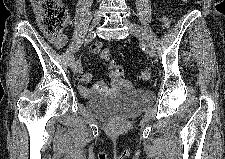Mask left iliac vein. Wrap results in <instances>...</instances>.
Wrapping results in <instances>:
<instances>
[{"mask_svg": "<svg viewBox=\"0 0 225 159\" xmlns=\"http://www.w3.org/2000/svg\"><path fill=\"white\" fill-rule=\"evenodd\" d=\"M123 22L125 25L129 26L131 33L135 35L141 41V43L144 45L149 56L154 57L155 56L154 46L147 39L145 32L140 27H138L136 24L132 23L129 20H124Z\"/></svg>", "mask_w": 225, "mask_h": 159, "instance_id": "obj_1", "label": "left iliac vein"}]
</instances>
